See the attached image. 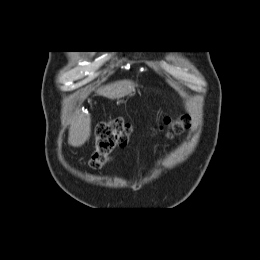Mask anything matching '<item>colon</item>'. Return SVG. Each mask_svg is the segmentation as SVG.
I'll return each mask as SVG.
<instances>
[{
	"instance_id": "obj_1",
	"label": "colon",
	"mask_w": 260,
	"mask_h": 260,
	"mask_svg": "<svg viewBox=\"0 0 260 260\" xmlns=\"http://www.w3.org/2000/svg\"><path fill=\"white\" fill-rule=\"evenodd\" d=\"M190 122L188 115L176 119L167 117L159 130L165 131L167 137H172L182 134L190 126ZM131 134L132 126L123 118L117 117L100 122L96 127L95 149L90 159L91 168L97 170L104 167L116 148L128 144Z\"/></svg>"
}]
</instances>
